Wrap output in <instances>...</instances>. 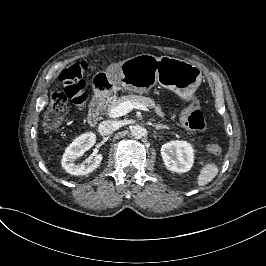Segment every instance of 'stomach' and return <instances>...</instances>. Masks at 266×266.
I'll use <instances>...</instances> for the list:
<instances>
[{
    "label": "stomach",
    "instance_id": "0dacf381",
    "mask_svg": "<svg viewBox=\"0 0 266 266\" xmlns=\"http://www.w3.org/2000/svg\"><path fill=\"white\" fill-rule=\"evenodd\" d=\"M122 68L119 77L111 76L112 81L122 87L143 93L159 83L174 92L182 102L191 103L202 82V72L197 66L173 57H161L156 61L144 56L126 61Z\"/></svg>",
    "mask_w": 266,
    "mask_h": 266
}]
</instances>
